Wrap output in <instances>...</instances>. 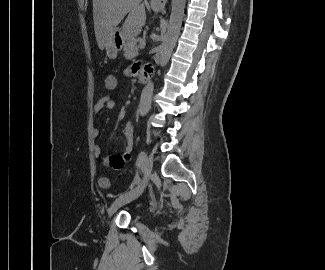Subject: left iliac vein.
I'll return each instance as SVG.
<instances>
[{
	"mask_svg": "<svg viewBox=\"0 0 325 270\" xmlns=\"http://www.w3.org/2000/svg\"><path fill=\"white\" fill-rule=\"evenodd\" d=\"M152 169H153V157H152V155H149L144 160L145 174H144V178H143L142 182L135 189L119 196L113 202V204L111 205V207L109 208V211H108L109 217H111L121 206L135 200L143 193V191L145 190V188L148 184Z\"/></svg>",
	"mask_w": 325,
	"mask_h": 270,
	"instance_id": "1",
	"label": "left iliac vein"
}]
</instances>
